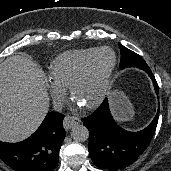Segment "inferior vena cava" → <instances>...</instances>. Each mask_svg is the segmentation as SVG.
I'll return each instance as SVG.
<instances>
[{"instance_id": "obj_1", "label": "inferior vena cava", "mask_w": 171, "mask_h": 171, "mask_svg": "<svg viewBox=\"0 0 171 171\" xmlns=\"http://www.w3.org/2000/svg\"><path fill=\"white\" fill-rule=\"evenodd\" d=\"M63 107H64V103L62 102L61 99H55L53 101V108H54V110L61 111L63 109Z\"/></svg>"}]
</instances>
